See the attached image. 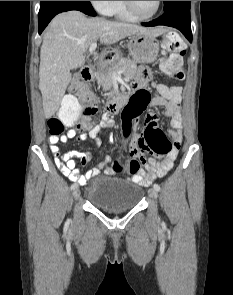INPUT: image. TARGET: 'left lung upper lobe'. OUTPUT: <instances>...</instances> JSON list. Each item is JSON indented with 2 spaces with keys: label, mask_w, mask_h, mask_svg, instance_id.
<instances>
[{
  "label": "left lung upper lobe",
  "mask_w": 233,
  "mask_h": 295,
  "mask_svg": "<svg viewBox=\"0 0 233 295\" xmlns=\"http://www.w3.org/2000/svg\"><path fill=\"white\" fill-rule=\"evenodd\" d=\"M164 2V11L168 10L172 6L175 5L177 2H183V1H163Z\"/></svg>",
  "instance_id": "5c2ea615"
}]
</instances>
